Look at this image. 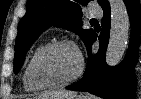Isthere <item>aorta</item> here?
Returning a JSON list of instances; mask_svg holds the SVG:
<instances>
[{
  "label": "aorta",
  "instance_id": "1",
  "mask_svg": "<svg viewBox=\"0 0 141 99\" xmlns=\"http://www.w3.org/2000/svg\"><path fill=\"white\" fill-rule=\"evenodd\" d=\"M111 27L106 51V63L113 67L121 61L129 38V14L123 0H109Z\"/></svg>",
  "mask_w": 141,
  "mask_h": 99
}]
</instances>
